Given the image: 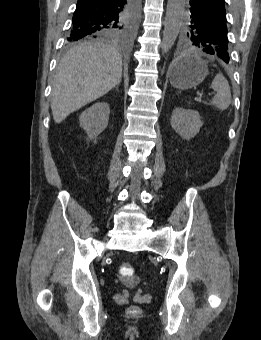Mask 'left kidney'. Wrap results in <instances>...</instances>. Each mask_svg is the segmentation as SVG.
<instances>
[{"label":"left kidney","mask_w":261,"mask_h":340,"mask_svg":"<svg viewBox=\"0 0 261 340\" xmlns=\"http://www.w3.org/2000/svg\"><path fill=\"white\" fill-rule=\"evenodd\" d=\"M170 121L172 128L186 140L193 138L203 125L197 111L180 107L173 110Z\"/></svg>","instance_id":"obj_1"}]
</instances>
